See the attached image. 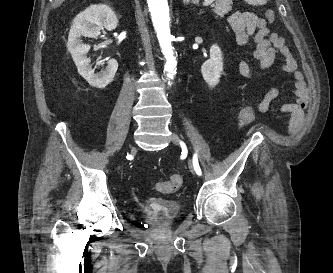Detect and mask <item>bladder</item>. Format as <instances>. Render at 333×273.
<instances>
[{"label":"bladder","mask_w":333,"mask_h":273,"mask_svg":"<svg viewBox=\"0 0 333 273\" xmlns=\"http://www.w3.org/2000/svg\"><path fill=\"white\" fill-rule=\"evenodd\" d=\"M142 214L154 225L171 226L180 212V206L172 200H162L156 204L145 203L140 207Z\"/></svg>","instance_id":"bladder-1"}]
</instances>
